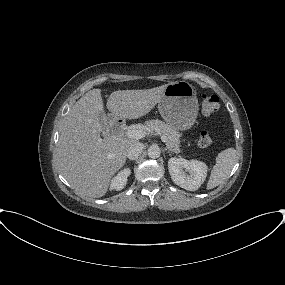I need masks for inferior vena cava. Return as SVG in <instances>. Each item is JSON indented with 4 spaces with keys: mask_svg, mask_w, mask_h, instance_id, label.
Here are the masks:
<instances>
[{
    "mask_svg": "<svg viewBox=\"0 0 285 285\" xmlns=\"http://www.w3.org/2000/svg\"><path fill=\"white\" fill-rule=\"evenodd\" d=\"M143 149H144V144L140 142H136L129 147L128 152H127V157L130 160H135L143 152Z\"/></svg>",
    "mask_w": 285,
    "mask_h": 285,
    "instance_id": "obj_1",
    "label": "inferior vena cava"
}]
</instances>
